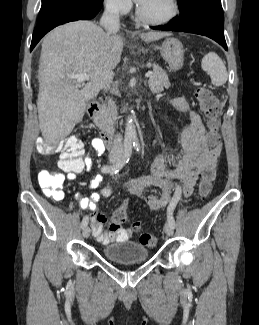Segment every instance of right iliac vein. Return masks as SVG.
<instances>
[{
  "label": "right iliac vein",
  "mask_w": 259,
  "mask_h": 325,
  "mask_svg": "<svg viewBox=\"0 0 259 325\" xmlns=\"http://www.w3.org/2000/svg\"><path fill=\"white\" fill-rule=\"evenodd\" d=\"M119 158H120V154H113V155L110 156V162L115 163L116 161L119 160ZM90 232H91L90 228L88 226H85L83 228V236H84V238H88L90 236Z\"/></svg>",
  "instance_id": "obj_1"
}]
</instances>
